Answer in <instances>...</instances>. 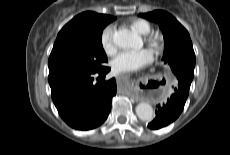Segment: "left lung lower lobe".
Returning a JSON list of instances; mask_svg holds the SVG:
<instances>
[{"mask_svg":"<svg viewBox=\"0 0 230 155\" xmlns=\"http://www.w3.org/2000/svg\"><path fill=\"white\" fill-rule=\"evenodd\" d=\"M191 81L180 78L173 94L163 105H158L155 119L148 124L151 129H160L175 121L181 114L188 97Z\"/></svg>","mask_w":230,"mask_h":155,"instance_id":"1","label":"left lung lower lobe"}]
</instances>
